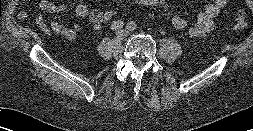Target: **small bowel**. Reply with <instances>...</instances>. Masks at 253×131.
I'll use <instances>...</instances> for the list:
<instances>
[{
  "label": "small bowel",
  "instance_id": "small-bowel-1",
  "mask_svg": "<svg viewBox=\"0 0 253 131\" xmlns=\"http://www.w3.org/2000/svg\"><path fill=\"white\" fill-rule=\"evenodd\" d=\"M227 2L228 0H212L205 9L199 13L197 20L190 25H188L184 18L174 16L171 20L172 26L177 30L187 28L191 37H205L215 28V19ZM67 6V3H55L51 0H41L39 3L40 9L46 13H58L65 10ZM76 14L81 18H88L95 31H99L102 28L104 23L103 10H89L86 5L81 4L76 7ZM27 17L28 15L25 11H20L18 13V18L21 21L27 20ZM38 24L45 34L49 35L55 33L61 35L68 41L75 40L77 34L82 29L81 25L78 23H75L72 27H65L57 20H53L48 25L43 18L38 19Z\"/></svg>",
  "mask_w": 253,
  "mask_h": 131
}]
</instances>
